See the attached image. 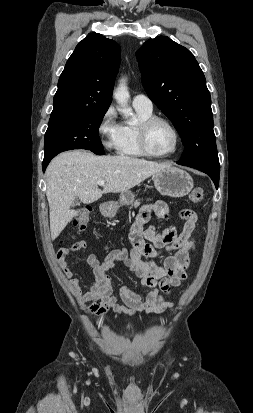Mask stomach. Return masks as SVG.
I'll return each mask as SVG.
<instances>
[{
    "instance_id": "stomach-1",
    "label": "stomach",
    "mask_w": 253,
    "mask_h": 413,
    "mask_svg": "<svg viewBox=\"0 0 253 413\" xmlns=\"http://www.w3.org/2000/svg\"><path fill=\"white\" fill-rule=\"evenodd\" d=\"M154 186L162 195L181 198L191 192L194 183L186 171L171 166L154 174ZM133 200L134 194L127 190L120 194L119 202L105 204L102 207V212L108 217H114L120 205H129Z\"/></svg>"
}]
</instances>
